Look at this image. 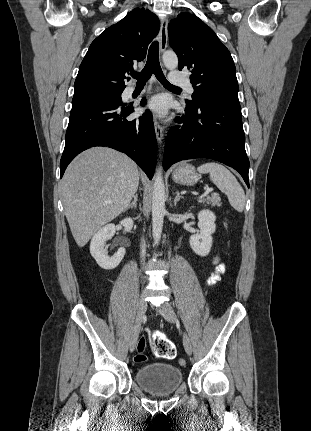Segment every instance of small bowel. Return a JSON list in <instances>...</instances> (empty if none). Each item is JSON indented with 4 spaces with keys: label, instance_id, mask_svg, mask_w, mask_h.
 Wrapping results in <instances>:
<instances>
[{
    "label": "small bowel",
    "instance_id": "1",
    "mask_svg": "<svg viewBox=\"0 0 311 431\" xmlns=\"http://www.w3.org/2000/svg\"><path fill=\"white\" fill-rule=\"evenodd\" d=\"M214 263H215V270H214V272L211 273V275L208 278V282L210 284L216 283L220 279L221 275L223 274V272L225 270L224 265L219 262L218 258L215 259ZM158 336L164 337V335L160 332H155L153 334L154 339Z\"/></svg>",
    "mask_w": 311,
    "mask_h": 431
}]
</instances>
